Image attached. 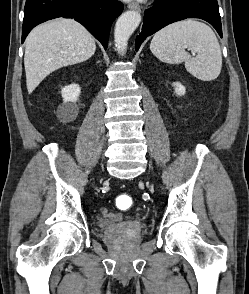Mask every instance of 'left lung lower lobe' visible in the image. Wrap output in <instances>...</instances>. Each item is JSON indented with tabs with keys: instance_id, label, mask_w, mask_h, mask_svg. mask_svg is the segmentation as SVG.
I'll return each mask as SVG.
<instances>
[{
	"instance_id": "0a47b994",
	"label": "left lung lower lobe",
	"mask_w": 249,
	"mask_h": 294,
	"mask_svg": "<svg viewBox=\"0 0 249 294\" xmlns=\"http://www.w3.org/2000/svg\"><path fill=\"white\" fill-rule=\"evenodd\" d=\"M155 3L156 6L144 12L146 19L142 32L136 38V51L147 36L170 23L186 18H200L209 22L222 37L217 0H156Z\"/></svg>"
}]
</instances>
